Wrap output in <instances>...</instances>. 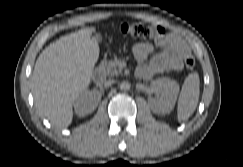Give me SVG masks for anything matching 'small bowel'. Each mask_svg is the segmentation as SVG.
Listing matches in <instances>:
<instances>
[{
	"label": "small bowel",
	"mask_w": 243,
	"mask_h": 167,
	"mask_svg": "<svg viewBox=\"0 0 243 167\" xmlns=\"http://www.w3.org/2000/svg\"><path fill=\"white\" fill-rule=\"evenodd\" d=\"M158 48L160 53L149 61L150 54ZM133 54L138 63L137 74L152 79L164 72L180 71L183 59L190 54V46L179 34L170 32L157 36L153 43H137Z\"/></svg>",
	"instance_id": "1"
}]
</instances>
